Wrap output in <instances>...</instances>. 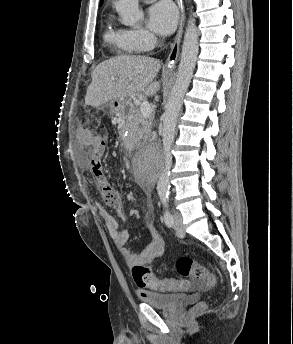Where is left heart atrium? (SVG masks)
<instances>
[{
	"mask_svg": "<svg viewBox=\"0 0 293 344\" xmlns=\"http://www.w3.org/2000/svg\"><path fill=\"white\" fill-rule=\"evenodd\" d=\"M148 27L159 35H169L177 24V11L168 0H162L148 9Z\"/></svg>",
	"mask_w": 293,
	"mask_h": 344,
	"instance_id": "1",
	"label": "left heart atrium"
}]
</instances>
